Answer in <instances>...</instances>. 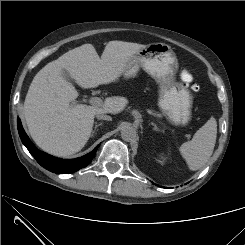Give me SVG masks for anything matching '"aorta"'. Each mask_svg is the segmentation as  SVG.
Segmentation results:
<instances>
[{
	"instance_id": "1",
	"label": "aorta",
	"mask_w": 245,
	"mask_h": 245,
	"mask_svg": "<svg viewBox=\"0 0 245 245\" xmlns=\"http://www.w3.org/2000/svg\"><path fill=\"white\" fill-rule=\"evenodd\" d=\"M121 137L124 141H133L136 138V130L131 126H125L121 130Z\"/></svg>"
}]
</instances>
